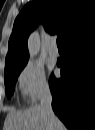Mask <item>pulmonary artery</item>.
I'll list each match as a JSON object with an SVG mask.
<instances>
[{"label": "pulmonary artery", "instance_id": "pulmonary-artery-1", "mask_svg": "<svg viewBox=\"0 0 95 130\" xmlns=\"http://www.w3.org/2000/svg\"><path fill=\"white\" fill-rule=\"evenodd\" d=\"M49 53H50L51 55H53V56H57L58 53H59L58 47H57V45H56L54 39L52 40V43H51V45L49 46Z\"/></svg>", "mask_w": 95, "mask_h": 130}]
</instances>
